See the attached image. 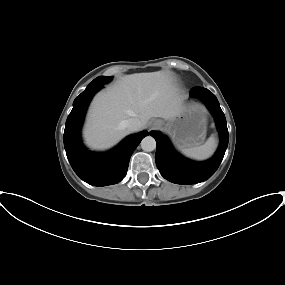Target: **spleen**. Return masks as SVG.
I'll return each instance as SVG.
<instances>
[{
  "label": "spleen",
  "instance_id": "3e777b00",
  "mask_svg": "<svg viewBox=\"0 0 285 285\" xmlns=\"http://www.w3.org/2000/svg\"><path fill=\"white\" fill-rule=\"evenodd\" d=\"M217 143L216 139L211 136L207 139V141L198 146L184 148L182 150V153L190 158L196 159V160H204L208 157H210L215 149H216Z\"/></svg>",
  "mask_w": 285,
  "mask_h": 285
}]
</instances>
